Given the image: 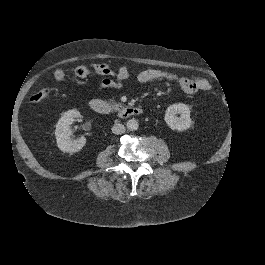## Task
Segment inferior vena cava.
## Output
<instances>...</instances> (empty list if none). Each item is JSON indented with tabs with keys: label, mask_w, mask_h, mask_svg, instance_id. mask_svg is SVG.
I'll return each instance as SVG.
<instances>
[{
	"label": "inferior vena cava",
	"mask_w": 265,
	"mask_h": 265,
	"mask_svg": "<svg viewBox=\"0 0 265 265\" xmlns=\"http://www.w3.org/2000/svg\"><path fill=\"white\" fill-rule=\"evenodd\" d=\"M112 133L115 135H119L125 132V127L124 125L120 124V123H115L112 128Z\"/></svg>",
	"instance_id": "602c4592"
}]
</instances>
